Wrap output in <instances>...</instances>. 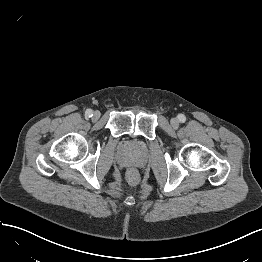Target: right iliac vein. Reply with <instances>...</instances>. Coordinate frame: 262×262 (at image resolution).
<instances>
[{"label":"right iliac vein","mask_w":262,"mask_h":262,"mask_svg":"<svg viewBox=\"0 0 262 262\" xmlns=\"http://www.w3.org/2000/svg\"><path fill=\"white\" fill-rule=\"evenodd\" d=\"M100 112L99 111H95L94 114H93V119L94 120H98L100 118Z\"/></svg>","instance_id":"1"}]
</instances>
